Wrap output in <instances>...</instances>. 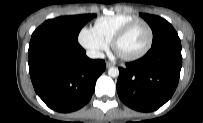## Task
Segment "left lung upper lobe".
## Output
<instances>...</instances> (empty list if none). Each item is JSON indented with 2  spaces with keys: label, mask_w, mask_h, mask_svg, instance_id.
Listing matches in <instances>:
<instances>
[{
  "label": "left lung upper lobe",
  "mask_w": 203,
  "mask_h": 123,
  "mask_svg": "<svg viewBox=\"0 0 203 123\" xmlns=\"http://www.w3.org/2000/svg\"><path fill=\"white\" fill-rule=\"evenodd\" d=\"M141 16L147 21V23L150 25L152 29L153 32L152 47L170 38L178 37V34L174 30L172 25L165 19L150 14H141Z\"/></svg>",
  "instance_id": "5c2ea615"
}]
</instances>
